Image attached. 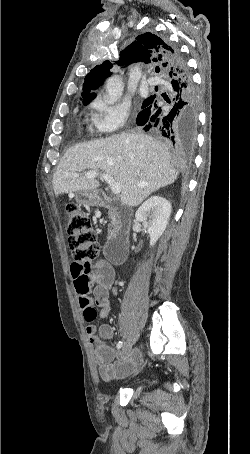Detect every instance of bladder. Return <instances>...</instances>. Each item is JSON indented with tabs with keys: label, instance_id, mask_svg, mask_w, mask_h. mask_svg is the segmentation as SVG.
Masks as SVG:
<instances>
[{
	"label": "bladder",
	"instance_id": "obj_1",
	"mask_svg": "<svg viewBox=\"0 0 250 454\" xmlns=\"http://www.w3.org/2000/svg\"><path fill=\"white\" fill-rule=\"evenodd\" d=\"M148 379L146 377H137L131 381H129L125 387L127 389H131L133 391H140L147 387Z\"/></svg>",
	"mask_w": 250,
	"mask_h": 454
}]
</instances>
